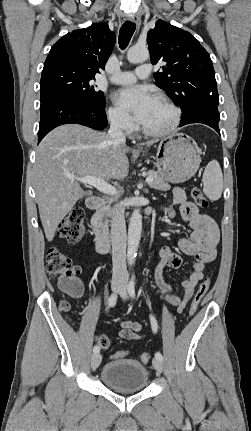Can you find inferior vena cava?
I'll return each instance as SVG.
<instances>
[{"instance_id":"inferior-vena-cava-1","label":"inferior vena cava","mask_w":251,"mask_h":431,"mask_svg":"<svg viewBox=\"0 0 251 431\" xmlns=\"http://www.w3.org/2000/svg\"><path fill=\"white\" fill-rule=\"evenodd\" d=\"M123 119L116 118L111 122L108 136L116 144H125L126 137L122 131ZM110 238L112 244L113 279L128 281L126 266V224L124 210L121 206L115 205L111 211Z\"/></svg>"}]
</instances>
